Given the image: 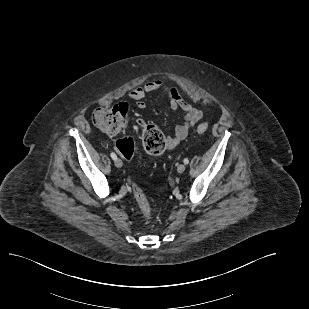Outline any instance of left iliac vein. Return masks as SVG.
<instances>
[{
    "label": "left iliac vein",
    "instance_id": "4c4485c4",
    "mask_svg": "<svg viewBox=\"0 0 309 309\" xmlns=\"http://www.w3.org/2000/svg\"><path fill=\"white\" fill-rule=\"evenodd\" d=\"M186 169V166L184 164H179L177 167L178 173H183Z\"/></svg>",
    "mask_w": 309,
    "mask_h": 309
}]
</instances>
